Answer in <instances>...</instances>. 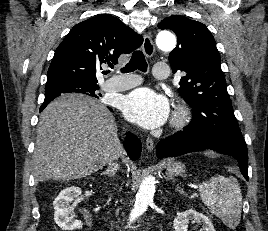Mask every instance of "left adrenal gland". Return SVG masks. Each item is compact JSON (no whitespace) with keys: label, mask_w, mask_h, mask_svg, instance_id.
Listing matches in <instances>:
<instances>
[{"label":"left adrenal gland","mask_w":268,"mask_h":231,"mask_svg":"<svg viewBox=\"0 0 268 231\" xmlns=\"http://www.w3.org/2000/svg\"><path fill=\"white\" fill-rule=\"evenodd\" d=\"M176 190H178L180 192L179 188H176Z\"/></svg>","instance_id":"a2214340"}]
</instances>
